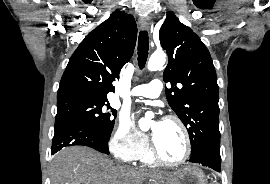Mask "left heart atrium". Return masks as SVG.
Returning a JSON list of instances; mask_svg holds the SVG:
<instances>
[{"mask_svg": "<svg viewBox=\"0 0 270 184\" xmlns=\"http://www.w3.org/2000/svg\"><path fill=\"white\" fill-rule=\"evenodd\" d=\"M162 121L158 120L155 122L156 125H159ZM154 136V131H152V137Z\"/></svg>", "mask_w": 270, "mask_h": 184, "instance_id": "39dd6f15", "label": "left heart atrium"}]
</instances>
